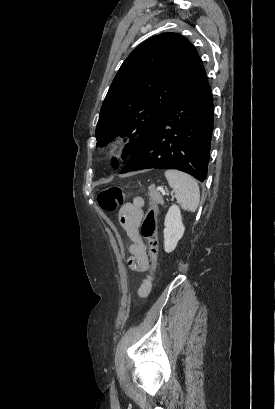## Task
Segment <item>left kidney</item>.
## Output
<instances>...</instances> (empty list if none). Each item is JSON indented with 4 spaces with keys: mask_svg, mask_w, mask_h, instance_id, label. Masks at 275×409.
Segmentation results:
<instances>
[{
    "mask_svg": "<svg viewBox=\"0 0 275 409\" xmlns=\"http://www.w3.org/2000/svg\"><path fill=\"white\" fill-rule=\"evenodd\" d=\"M164 225V251L165 253H172L185 231L180 209L177 205L170 207L165 217Z\"/></svg>",
    "mask_w": 275,
    "mask_h": 409,
    "instance_id": "5707ae66",
    "label": "left kidney"
}]
</instances>
